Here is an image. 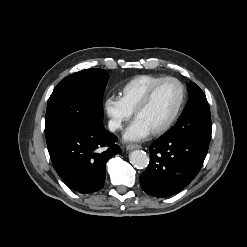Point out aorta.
Instances as JSON below:
<instances>
[{
	"instance_id": "762f6f07",
	"label": "aorta",
	"mask_w": 247,
	"mask_h": 247,
	"mask_svg": "<svg viewBox=\"0 0 247 247\" xmlns=\"http://www.w3.org/2000/svg\"><path fill=\"white\" fill-rule=\"evenodd\" d=\"M129 160L131 164L138 169L146 168L149 164V157L146 152L142 150L132 151L129 155Z\"/></svg>"
}]
</instances>
